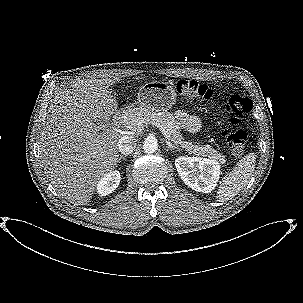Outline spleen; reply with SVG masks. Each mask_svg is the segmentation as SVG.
<instances>
[{
  "label": "spleen",
  "instance_id": "3e777b00",
  "mask_svg": "<svg viewBox=\"0 0 303 303\" xmlns=\"http://www.w3.org/2000/svg\"><path fill=\"white\" fill-rule=\"evenodd\" d=\"M255 161L254 153L247 154L220 181L216 195L218 202H224L235 197L248 184L255 169Z\"/></svg>",
  "mask_w": 303,
  "mask_h": 303
}]
</instances>
